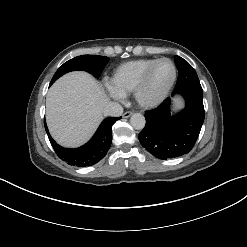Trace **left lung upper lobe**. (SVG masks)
Here are the masks:
<instances>
[{
	"label": "left lung upper lobe",
	"instance_id": "5c2ea615",
	"mask_svg": "<svg viewBox=\"0 0 247 247\" xmlns=\"http://www.w3.org/2000/svg\"><path fill=\"white\" fill-rule=\"evenodd\" d=\"M175 64L179 72L176 86L200 83L196 71L186 60L179 56H175Z\"/></svg>",
	"mask_w": 247,
	"mask_h": 247
}]
</instances>
